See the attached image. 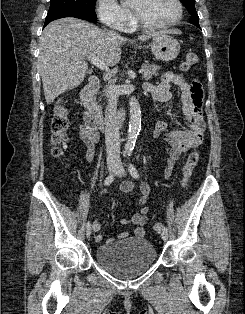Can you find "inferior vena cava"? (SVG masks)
I'll list each match as a JSON object with an SVG mask.
<instances>
[{"label":"inferior vena cava","mask_w":245,"mask_h":314,"mask_svg":"<svg viewBox=\"0 0 245 314\" xmlns=\"http://www.w3.org/2000/svg\"><path fill=\"white\" fill-rule=\"evenodd\" d=\"M108 97V106L105 110V143L107 161L120 162L119 123L116 113V98L114 87L110 84L104 90Z\"/></svg>","instance_id":"inferior-vena-cava-1"}]
</instances>
